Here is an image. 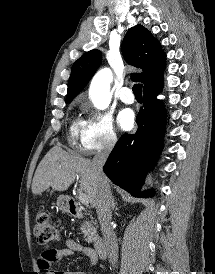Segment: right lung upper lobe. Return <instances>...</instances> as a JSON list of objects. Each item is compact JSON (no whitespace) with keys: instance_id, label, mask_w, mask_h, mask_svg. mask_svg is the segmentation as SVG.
I'll use <instances>...</instances> for the list:
<instances>
[{"instance_id":"right-lung-upper-lobe-1","label":"right lung upper lobe","mask_w":215,"mask_h":274,"mask_svg":"<svg viewBox=\"0 0 215 274\" xmlns=\"http://www.w3.org/2000/svg\"><path fill=\"white\" fill-rule=\"evenodd\" d=\"M125 60L142 73L133 74V80L144 84V90L162 85L165 53L151 32L142 25L130 28L122 42ZM101 51L94 49L82 55L72 66L66 102L69 103L87 85L101 63Z\"/></svg>"}]
</instances>
